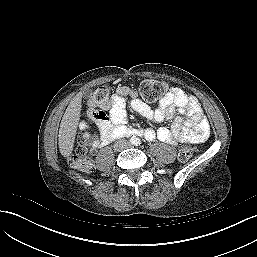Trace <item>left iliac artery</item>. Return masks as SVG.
I'll use <instances>...</instances> for the list:
<instances>
[{
    "instance_id": "1",
    "label": "left iliac artery",
    "mask_w": 257,
    "mask_h": 257,
    "mask_svg": "<svg viewBox=\"0 0 257 257\" xmlns=\"http://www.w3.org/2000/svg\"><path fill=\"white\" fill-rule=\"evenodd\" d=\"M137 144H138V145H140V144H141V141H140V140H138V141H137Z\"/></svg>"
}]
</instances>
